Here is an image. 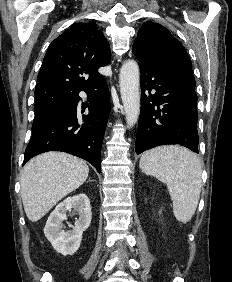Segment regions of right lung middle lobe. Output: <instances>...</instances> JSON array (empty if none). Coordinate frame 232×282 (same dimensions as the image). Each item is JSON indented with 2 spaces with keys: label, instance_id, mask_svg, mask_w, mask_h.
<instances>
[{
  "label": "right lung middle lobe",
  "instance_id": "1",
  "mask_svg": "<svg viewBox=\"0 0 232 282\" xmlns=\"http://www.w3.org/2000/svg\"><path fill=\"white\" fill-rule=\"evenodd\" d=\"M71 97V95L56 91L35 92L34 122L40 121L57 111L61 106L66 104Z\"/></svg>",
  "mask_w": 232,
  "mask_h": 282
}]
</instances>
